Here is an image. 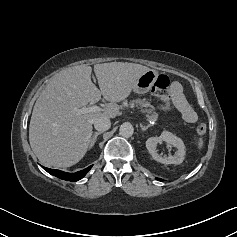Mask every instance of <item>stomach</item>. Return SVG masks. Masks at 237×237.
I'll list each match as a JSON object with an SVG mask.
<instances>
[{"label": "stomach", "mask_w": 237, "mask_h": 237, "mask_svg": "<svg viewBox=\"0 0 237 237\" xmlns=\"http://www.w3.org/2000/svg\"><path fill=\"white\" fill-rule=\"evenodd\" d=\"M157 78V71L152 69L146 71L137 79L136 83L133 86V91L137 94L147 93L151 89Z\"/></svg>", "instance_id": "stomach-1"}]
</instances>
